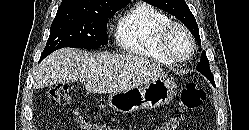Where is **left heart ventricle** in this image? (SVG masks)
I'll return each instance as SVG.
<instances>
[{"label": "left heart ventricle", "instance_id": "b2bd125f", "mask_svg": "<svg viewBox=\"0 0 249 130\" xmlns=\"http://www.w3.org/2000/svg\"><path fill=\"white\" fill-rule=\"evenodd\" d=\"M170 47L172 52L180 58L188 56L191 50L188 38L180 31L175 32L172 36Z\"/></svg>", "mask_w": 249, "mask_h": 130}]
</instances>
